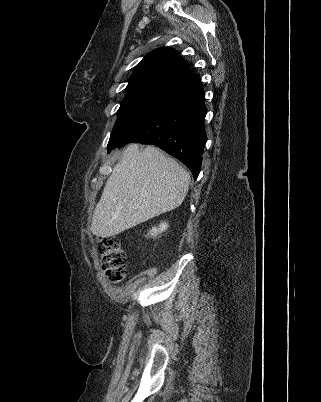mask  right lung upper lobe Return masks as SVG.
Segmentation results:
<instances>
[{
	"label": "right lung upper lobe",
	"instance_id": "cb5924a9",
	"mask_svg": "<svg viewBox=\"0 0 321 402\" xmlns=\"http://www.w3.org/2000/svg\"><path fill=\"white\" fill-rule=\"evenodd\" d=\"M192 75L179 52L163 47L150 52L143 58L131 75L126 89L151 83L174 87Z\"/></svg>",
	"mask_w": 321,
	"mask_h": 402
}]
</instances>
